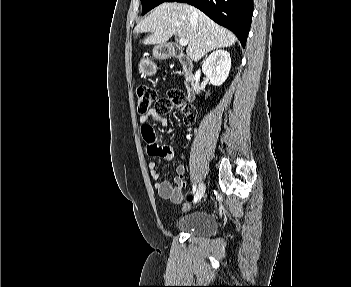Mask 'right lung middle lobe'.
<instances>
[{"instance_id": "1", "label": "right lung middle lobe", "mask_w": 351, "mask_h": 287, "mask_svg": "<svg viewBox=\"0 0 351 287\" xmlns=\"http://www.w3.org/2000/svg\"><path fill=\"white\" fill-rule=\"evenodd\" d=\"M166 0H141L142 3V15L146 14L151 9L165 2Z\"/></svg>"}]
</instances>
